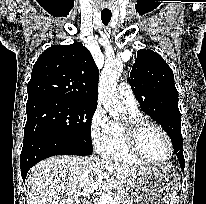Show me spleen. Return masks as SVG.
I'll list each match as a JSON object with an SVG mask.
<instances>
[{"instance_id":"1","label":"spleen","mask_w":206,"mask_h":204,"mask_svg":"<svg viewBox=\"0 0 206 204\" xmlns=\"http://www.w3.org/2000/svg\"><path fill=\"white\" fill-rule=\"evenodd\" d=\"M178 203H179L178 197L174 196L170 204H178Z\"/></svg>"}]
</instances>
